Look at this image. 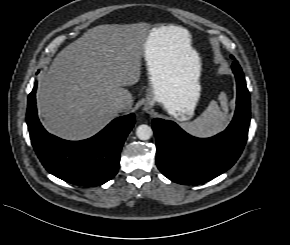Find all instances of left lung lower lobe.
Masks as SVG:
<instances>
[{
    "label": "left lung lower lobe",
    "mask_w": 290,
    "mask_h": 245,
    "mask_svg": "<svg viewBox=\"0 0 290 245\" xmlns=\"http://www.w3.org/2000/svg\"><path fill=\"white\" fill-rule=\"evenodd\" d=\"M232 70L237 84L236 111L225 131L202 139L187 134L172 121L153 120L157 166L173 182H207L232 167L242 153L250 123V96L238 62H233Z\"/></svg>",
    "instance_id": "1"
}]
</instances>
